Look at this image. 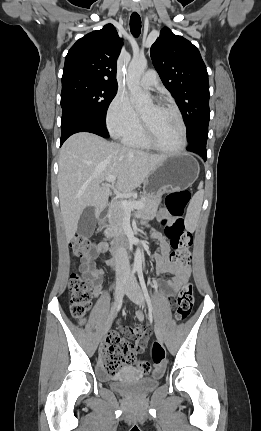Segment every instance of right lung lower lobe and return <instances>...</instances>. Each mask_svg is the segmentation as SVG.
Masks as SVG:
<instances>
[{
  "instance_id": "98d812e1",
  "label": "right lung lower lobe",
  "mask_w": 261,
  "mask_h": 431,
  "mask_svg": "<svg viewBox=\"0 0 261 431\" xmlns=\"http://www.w3.org/2000/svg\"><path fill=\"white\" fill-rule=\"evenodd\" d=\"M77 132H90L105 138L109 136L106 125L89 120L70 109H63L60 146L69 136Z\"/></svg>"
}]
</instances>
